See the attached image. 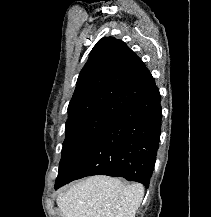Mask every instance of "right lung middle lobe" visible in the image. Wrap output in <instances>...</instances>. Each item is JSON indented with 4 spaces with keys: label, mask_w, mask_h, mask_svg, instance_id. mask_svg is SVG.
<instances>
[{
    "label": "right lung middle lobe",
    "mask_w": 211,
    "mask_h": 217,
    "mask_svg": "<svg viewBox=\"0 0 211 217\" xmlns=\"http://www.w3.org/2000/svg\"><path fill=\"white\" fill-rule=\"evenodd\" d=\"M116 116L111 113H95L66 122V138L63 143L57 179L63 178L69 172Z\"/></svg>",
    "instance_id": "dd1d6c3e"
}]
</instances>
